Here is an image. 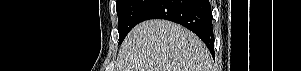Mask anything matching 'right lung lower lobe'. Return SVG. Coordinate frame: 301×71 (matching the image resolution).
<instances>
[{
	"label": "right lung lower lobe",
	"instance_id": "right-lung-lower-lobe-1",
	"mask_svg": "<svg viewBox=\"0 0 301 71\" xmlns=\"http://www.w3.org/2000/svg\"><path fill=\"white\" fill-rule=\"evenodd\" d=\"M166 19L193 31L214 56L212 11L208 0H155L142 15L140 22Z\"/></svg>",
	"mask_w": 301,
	"mask_h": 71
}]
</instances>
